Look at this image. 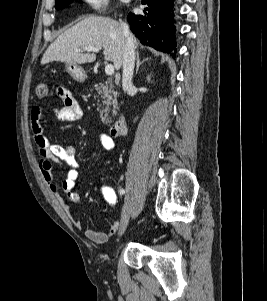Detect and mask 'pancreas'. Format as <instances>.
Instances as JSON below:
<instances>
[{
  "label": "pancreas",
  "instance_id": "pancreas-1",
  "mask_svg": "<svg viewBox=\"0 0 267 301\" xmlns=\"http://www.w3.org/2000/svg\"><path fill=\"white\" fill-rule=\"evenodd\" d=\"M95 90L96 94L94 97L98 98L97 103L105 105L104 108L98 109L101 121L108 124L111 122V119L108 117L111 106H113L114 110L118 109L117 92L114 90L111 82L99 83L95 86Z\"/></svg>",
  "mask_w": 267,
  "mask_h": 301
}]
</instances>
